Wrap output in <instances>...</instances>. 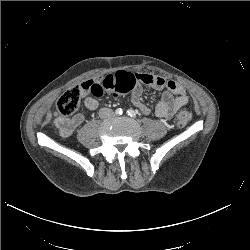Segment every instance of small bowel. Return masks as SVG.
Segmentation results:
<instances>
[{
  "instance_id": "obj_1",
  "label": "small bowel",
  "mask_w": 250,
  "mask_h": 250,
  "mask_svg": "<svg viewBox=\"0 0 250 250\" xmlns=\"http://www.w3.org/2000/svg\"><path fill=\"white\" fill-rule=\"evenodd\" d=\"M95 83L102 84L106 92L115 95L131 93L133 104L144 114H150L151 109L142 101L143 85L162 90V98L154 109L155 116L160 119H171L176 111L188 102L185 90L173 81L146 73L120 71L81 83L80 89L84 104L91 111L99 106L98 100L89 95L90 86ZM84 119L83 114L77 113L70 118L58 117L54 124L59 134L67 138L84 122Z\"/></svg>"
}]
</instances>
